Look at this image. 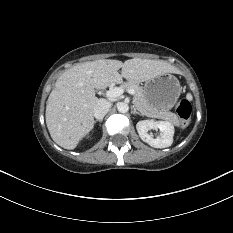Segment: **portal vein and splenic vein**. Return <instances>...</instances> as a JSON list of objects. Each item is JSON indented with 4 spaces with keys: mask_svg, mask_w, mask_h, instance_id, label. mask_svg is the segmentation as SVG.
Listing matches in <instances>:
<instances>
[{
    "mask_svg": "<svg viewBox=\"0 0 233 233\" xmlns=\"http://www.w3.org/2000/svg\"><path fill=\"white\" fill-rule=\"evenodd\" d=\"M124 92L123 89H121L120 87H116V88H113V89H110L106 92V96L109 97V98H116V97H119L120 95H122ZM128 93H130L131 95H134L135 92L133 89H128Z\"/></svg>",
    "mask_w": 233,
    "mask_h": 233,
    "instance_id": "18ae733b",
    "label": "portal vein and splenic vein"
}]
</instances>
